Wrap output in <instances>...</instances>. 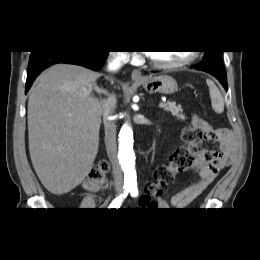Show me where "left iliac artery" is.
Instances as JSON below:
<instances>
[{
    "mask_svg": "<svg viewBox=\"0 0 260 260\" xmlns=\"http://www.w3.org/2000/svg\"><path fill=\"white\" fill-rule=\"evenodd\" d=\"M130 194H131L132 197H137V195H138L137 186H131L130 187Z\"/></svg>",
    "mask_w": 260,
    "mask_h": 260,
    "instance_id": "left-iliac-artery-1",
    "label": "left iliac artery"
}]
</instances>
